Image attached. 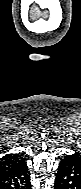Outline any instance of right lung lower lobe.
Returning <instances> with one entry per match:
<instances>
[{
    "label": "right lung lower lobe",
    "instance_id": "1",
    "mask_svg": "<svg viewBox=\"0 0 81 189\" xmlns=\"http://www.w3.org/2000/svg\"><path fill=\"white\" fill-rule=\"evenodd\" d=\"M0 189H31L30 173L24 160L0 172Z\"/></svg>",
    "mask_w": 81,
    "mask_h": 189
}]
</instances>
